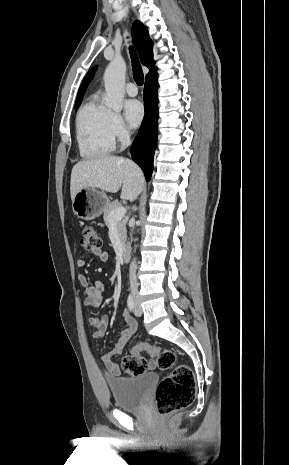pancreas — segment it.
I'll return each mask as SVG.
<instances>
[{
    "label": "pancreas",
    "mask_w": 289,
    "mask_h": 465,
    "mask_svg": "<svg viewBox=\"0 0 289 465\" xmlns=\"http://www.w3.org/2000/svg\"><path fill=\"white\" fill-rule=\"evenodd\" d=\"M120 207H121V204L117 200H115V201L111 202L110 204H108V206L104 210V215H103V219H104V222H105L106 226H109L110 223H111V220H110L111 213L114 210H116L117 208H120ZM126 222H127L126 219H124L123 221H118L117 222L119 238H120L122 244H124L126 242V238H127V236H126V233H127Z\"/></svg>",
    "instance_id": "cf45deb5"
}]
</instances>
